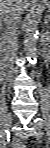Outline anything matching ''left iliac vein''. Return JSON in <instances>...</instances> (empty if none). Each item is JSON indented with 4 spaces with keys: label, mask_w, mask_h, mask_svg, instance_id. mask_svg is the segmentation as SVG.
Masks as SVG:
<instances>
[{
    "label": "left iliac vein",
    "mask_w": 50,
    "mask_h": 148,
    "mask_svg": "<svg viewBox=\"0 0 50 148\" xmlns=\"http://www.w3.org/2000/svg\"><path fill=\"white\" fill-rule=\"evenodd\" d=\"M33 127L35 129V136L40 139L42 137L41 127L36 123L33 124Z\"/></svg>",
    "instance_id": "1"
}]
</instances>
